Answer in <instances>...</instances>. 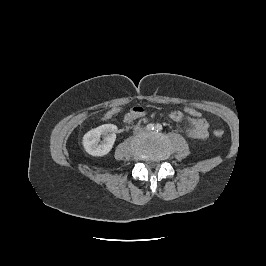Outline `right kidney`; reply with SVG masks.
I'll use <instances>...</instances> for the list:
<instances>
[{"mask_svg": "<svg viewBox=\"0 0 266 266\" xmlns=\"http://www.w3.org/2000/svg\"><path fill=\"white\" fill-rule=\"evenodd\" d=\"M117 126L104 124L88 131L83 137V146L92 156H104L110 152L116 140ZM103 140L100 142V137Z\"/></svg>", "mask_w": 266, "mask_h": 266, "instance_id": "right-kidney-1", "label": "right kidney"}]
</instances>
